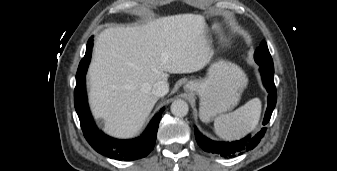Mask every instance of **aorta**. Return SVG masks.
Masks as SVG:
<instances>
[{
    "instance_id": "1",
    "label": "aorta",
    "mask_w": 337,
    "mask_h": 171,
    "mask_svg": "<svg viewBox=\"0 0 337 171\" xmlns=\"http://www.w3.org/2000/svg\"><path fill=\"white\" fill-rule=\"evenodd\" d=\"M171 113L177 117H184L189 111V107L186 101L182 99L174 100L171 104Z\"/></svg>"
}]
</instances>
